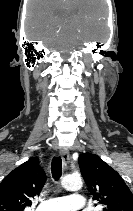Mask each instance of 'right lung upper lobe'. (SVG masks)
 <instances>
[{
	"label": "right lung upper lobe",
	"mask_w": 133,
	"mask_h": 211,
	"mask_svg": "<svg viewBox=\"0 0 133 211\" xmlns=\"http://www.w3.org/2000/svg\"><path fill=\"white\" fill-rule=\"evenodd\" d=\"M46 182V175L38 158L10 172L0 184V211H23L31 206V198L39 194Z\"/></svg>",
	"instance_id": "1"
}]
</instances>
